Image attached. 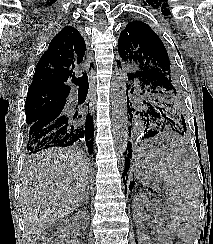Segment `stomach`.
Returning <instances> with one entry per match:
<instances>
[{"instance_id": "0dacf381", "label": "stomach", "mask_w": 213, "mask_h": 244, "mask_svg": "<svg viewBox=\"0 0 213 244\" xmlns=\"http://www.w3.org/2000/svg\"><path fill=\"white\" fill-rule=\"evenodd\" d=\"M146 153H149V150H146ZM135 174L143 183L150 186H155L159 177L158 170L147 159L136 163Z\"/></svg>"}]
</instances>
